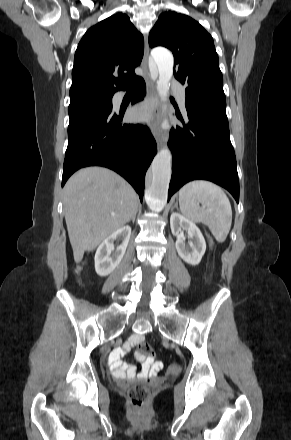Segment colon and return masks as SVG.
Returning <instances> with one entry per match:
<instances>
[{
  "instance_id": "5ec220e1",
  "label": "colon",
  "mask_w": 291,
  "mask_h": 440,
  "mask_svg": "<svg viewBox=\"0 0 291 440\" xmlns=\"http://www.w3.org/2000/svg\"><path fill=\"white\" fill-rule=\"evenodd\" d=\"M213 243L210 242V247ZM87 261H83L85 265ZM137 355L138 357H148L154 359L155 352L152 350L148 342L142 341L137 345ZM128 399L131 405L136 409H141L148 404L150 399V390L142 384H134L129 388Z\"/></svg>"
}]
</instances>
